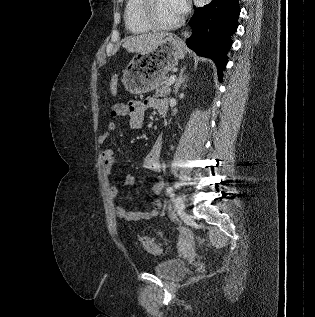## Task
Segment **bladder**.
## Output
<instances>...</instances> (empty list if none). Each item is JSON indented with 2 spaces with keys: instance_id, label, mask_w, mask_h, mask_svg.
<instances>
[{
  "instance_id": "obj_1",
  "label": "bladder",
  "mask_w": 315,
  "mask_h": 317,
  "mask_svg": "<svg viewBox=\"0 0 315 317\" xmlns=\"http://www.w3.org/2000/svg\"><path fill=\"white\" fill-rule=\"evenodd\" d=\"M186 270V263L179 258H173L159 262L153 268V272L157 276L168 280H175L182 277Z\"/></svg>"
}]
</instances>
